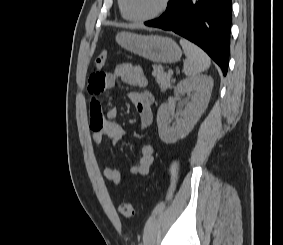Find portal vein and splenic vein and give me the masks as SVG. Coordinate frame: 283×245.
<instances>
[{
	"label": "portal vein and splenic vein",
	"mask_w": 283,
	"mask_h": 245,
	"mask_svg": "<svg viewBox=\"0 0 283 245\" xmlns=\"http://www.w3.org/2000/svg\"><path fill=\"white\" fill-rule=\"evenodd\" d=\"M168 73H169V74H173V70H172V69H169V70H168Z\"/></svg>",
	"instance_id": "portal-vein-and-splenic-vein-1"
}]
</instances>
